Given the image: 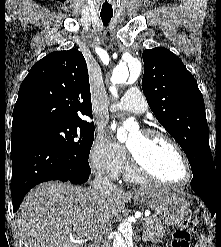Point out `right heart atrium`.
<instances>
[{"label": "right heart atrium", "mask_w": 221, "mask_h": 247, "mask_svg": "<svg viewBox=\"0 0 221 247\" xmlns=\"http://www.w3.org/2000/svg\"><path fill=\"white\" fill-rule=\"evenodd\" d=\"M126 159V149L102 135H98L95 138L89 150L91 169L112 179L120 176Z\"/></svg>", "instance_id": "1"}]
</instances>
